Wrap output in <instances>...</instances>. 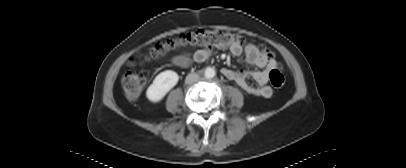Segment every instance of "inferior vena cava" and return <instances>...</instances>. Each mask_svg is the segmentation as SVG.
Here are the masks:
<instances>
[{
	"label": "inferior vena cava",
	"instance_id": "obj_1",
	"mask_svg": "<svg viewBox=\"0 0 406 168\" xmlns=\"http://www.w3.org/2000/svg\"><path fill=\"white\" fill-rule=\"evenodd\" d=\"M198 79H199V75H198V74H196V73H190V74L187 75V77H186V79H185V82H186L187 84H192V83L198 81Z\"/></svg>",
	"mask_w": 406,
	"mask_h": 168
}]
</instances>
